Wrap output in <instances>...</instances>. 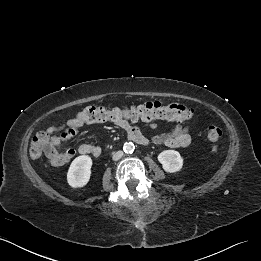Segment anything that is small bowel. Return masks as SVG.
<instances>
[{"instance_id":"small-bowel-1","label":"small bowel","mask_w":261,"mask_h":261,"mask_svg":"<svg viewBox=\"0 0 261 261\" xmlns=\"http://www.w3.org/2000/svg\"><path fill=\"white\" fill-rule=\"evenodd\" d=\"M113 123L124 130L128 136L134 133H140L139 129L133 126L128 120L122 119L114 121ZM83 125L84 123L75 117L65 124L50 126L47 129L46 134L48 135V141L44 152L51 165L62 166L69 162L75 154V151L71 149L65 152L59 151L63 139H61L58 134L71 128H79ZM147 125L150 128H156L157 126L154 122H147ZM152 141L155 144H162L170 148L186 147L191 142L189 126L185 123L177 122L170 132L157 134L152 137ZM78 152L83 155L98 156L101 153V149L90 144H82L79 146Z\"/></svg>"}]
</instances>
